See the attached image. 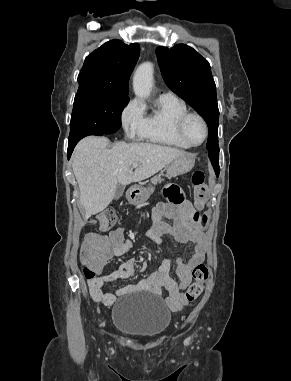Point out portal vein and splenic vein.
<instances>
[{
  "instance_id": "18ae733b",
  "label": "portal vein and splenic vein",
  "mask_w": 291,
  "mask_h": 381,
  "mask_svg": "<svg viewBox=\"0 0 291 381\" xmlns=\"http://www.w3.org/2000/svg\"><path fill=\"white\" fill-rule=\"evenodd\" d=\"M132 167H133V168L138 167V163H133V164H132Z\"/></svg>"
}]
</instances>
